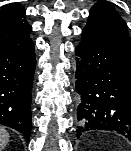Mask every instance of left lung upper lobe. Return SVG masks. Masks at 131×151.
Wrapping results in <instances>:
<instances>
[{"label": "left lung upper lobe", "mask_w": 131, "mask_h": 151, "mask_svg": "<svg viewBox=\"0 0 131 151\" xmlns=\"http://www.w3.org/2000/svg\"><path fill=\"white\" fill-rule=\"evenodd\" d=\"M82 33L116 50L131 54L127 25L107 2H98L91 8L87 25Z\"/></svg>", "instance_id": "obj_1"}]
</instances>
